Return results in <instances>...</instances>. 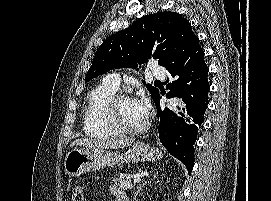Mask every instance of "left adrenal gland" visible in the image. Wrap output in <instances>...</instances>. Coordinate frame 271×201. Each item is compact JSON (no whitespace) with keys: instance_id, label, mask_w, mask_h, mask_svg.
<instances>
[{"instance_id":"left-adrenal-gland-1","label":"left adrenal gland","mask_w":271,"mask_h":201,"mask_svg":"<svg viewBox=\"0 0 271 201\" xmlns=\"http://www.w3.org/2000/svg\"><path fill=\"white\" fill-rule=\"evenodd\" d=\"M158 176V172L155 170V173L153 175L152 178H150L149 180L145 181L143 184L139 185L137 187L136 192L134 193V197H133V201L135 200V198L137 197V195L139 194L140 190L142 189V187H144L146 184H149L152 180H154L155 178H157Z\"/></svg>"}]
</instances>
